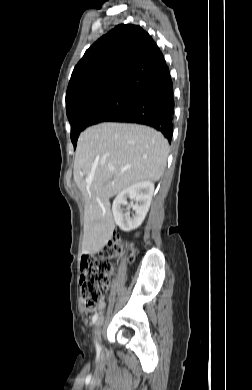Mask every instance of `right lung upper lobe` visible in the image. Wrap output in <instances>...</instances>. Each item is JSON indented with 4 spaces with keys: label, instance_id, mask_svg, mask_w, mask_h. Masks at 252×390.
Returning a JSON list of instances; mask_svg holds the SVG:
<instances>
[{
    "label": "right lung upper lobe",
    "instance_id": "cb5924a9",
    "mask_svg": "<svg viewBox=\"0 0 252 390\" xmlns=\"http://www.w3.org/2000/svg\"><path fill=\"white\" fill-rule=\"evenodd\" d=\"M169 75L152 37L140 26L120 24L97 40L75 66L66 92V112L106 96H136Z\"/></svg>",
    "mask_w": 252,
    "mask_h": 390
}]
</instances>
